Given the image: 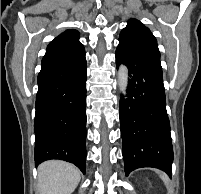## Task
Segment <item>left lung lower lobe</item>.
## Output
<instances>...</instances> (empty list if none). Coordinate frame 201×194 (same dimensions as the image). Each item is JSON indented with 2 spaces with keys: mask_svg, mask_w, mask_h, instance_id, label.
I'll use <instances>...</instances> for the list:
<instances>
[{
  "mask_svg": "<svg viewBox=\"0 0 201 194\" xmlns=\"http://www.w3.org/2000/svg\"><path fill=\"white\" fill-rule=\"evenodd\" d=\"M115 56L116 66L126 64L129 75L119 108L125 173L154 167L170 176L173 147L160 59L122 45Z\"/></svg>",
  "mask_w": 201,
  "mask_h": 194,
  "instance_id": "1",
  "label": "left lung lower lobe"
}]
</instances>
